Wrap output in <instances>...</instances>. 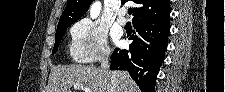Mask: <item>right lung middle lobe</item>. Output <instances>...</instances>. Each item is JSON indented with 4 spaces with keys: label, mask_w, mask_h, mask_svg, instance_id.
Here are the masks:
<instances>
[{
    "label": "right lung middle lobe",
    "mask_w": 225,
    "mask_h": 92,
    "mask_svg": "<svg viewBox=\"0 0 225 92\" xmlns=\"http://www.w3.org/2000/svg\"><path fill=\"white\" fill-rule=\"evenodd\" d=\"M70 25L71 24H61V25L57 26L55 44H54V48H53L52 54L56 53V51H57V49L59 47L60 41H61L63 35L66 32V28L69 27Z\"/></svg>",
    "instance_id": "right-lung-middle-lobe-1"
}]
</instances>
